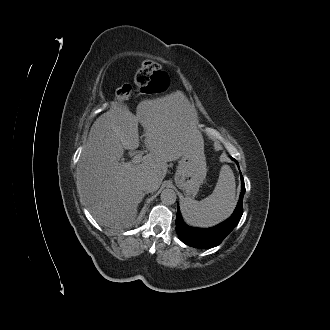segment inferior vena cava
Segmentation results:
<instances>
[{"instance_id":"obj_1","label":"inferior vena cava","mask_w":330,"mask_h":330,"mask_svg":"<svg viewBox=\"0 0 330 330\" xmlns=\"http://www.w3.org/2000/svg\"><path fill=\"white\" fill-rule=\"evenodd\" d=\"M142 189L143 191L147 192V193H151L154 192L158 189V184L155 181L154 178L152 177H147L145 178L142 183H141Z\"/></svg>"}]
</instances>
